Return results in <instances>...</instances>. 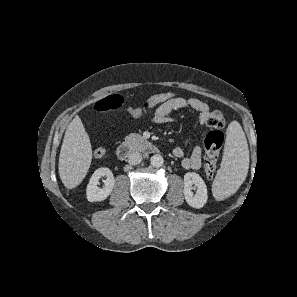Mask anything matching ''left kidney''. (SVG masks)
Instances as JSON below:
<instances>
[{
	"mask_svg": "<svg viewBox=\"0 0 297 297\" xmlns=\"http://www.w3.org/2000/svg\"><path fill=\"white\" fill-rule=\"evenodd\" d=\"M195 190V192H193ZM184 196L193 208H202L208 199L207 187L201 176L195 172L184 175Z\"/></svg>",
	"mask_w": 297,
	"mask_h": 297,
	"instance_id": "5707ae66",
	"label": "left kidney"
}]
</instances>
